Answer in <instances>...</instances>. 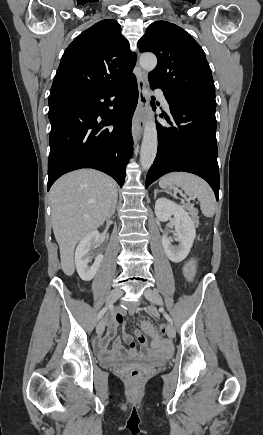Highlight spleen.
<instances>
[{
	"mask_svg": "<svg viewBox=\"0 0 263 435\" xmlns=\"http://www.w3.org/2000/svg\"><path fill=\"white\" fill-rule=\"evenodd\" d=\"M161 188H182L188 196L196 197L204 216L213 217L215 214V196L210 186L200 177L186 172H173L163 176L159 181Z\"/></svg>",
	"mask_w": 263,
	"mask_h": 435,
	"instance_id": "spleen-1",
	"label": "spleen"
}]
</instances>
